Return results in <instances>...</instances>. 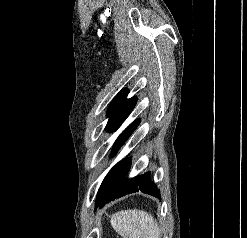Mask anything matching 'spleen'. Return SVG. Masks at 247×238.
Returning <instances> with one entry per match:
<instances>
[{
	"label": "spleen",
	"instance_id": "1",
	"mask_svg": "<svg viewBox=\"0 0 247 238\" xmlns=\"http://www.w3.org/2000/svg\"><path fill=\"white\" fill-rule=\"evenodd\" d=\"M113 229L123 238H159L160 230L153 216L143 210H122L110 219Z\"/></svg>",
	"mask_w": 247,
	"mask_h": 238
}]
</instances>
